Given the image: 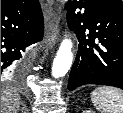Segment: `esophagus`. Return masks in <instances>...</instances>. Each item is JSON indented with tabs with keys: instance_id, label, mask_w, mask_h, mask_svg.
Wrapping results in <instances>:
<instances>
[{
	"instance_id": "34e87169",
	"label": "esophagus",
	"mask_w": 123,
	"mask_h": 113,
	"mask_svg": "<svg viewBox=\"0 0 123 113\" xmlns=\"http://www.w3.org/2000/svg\"><path fill=\"white\" fill-rule=\"evenodd\" d=\"M59 20L60 19L57 18L54 30H53L52 34L49 36V38H48V45L51 48H53V46L56 44V42L58 40V36H59Z\"/></svg>"
}]
</instances>
